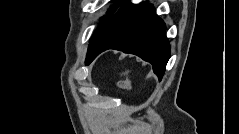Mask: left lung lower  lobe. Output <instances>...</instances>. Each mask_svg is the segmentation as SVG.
<instances>
[{"mask_svg": "<svg viewBox=\"0 0 239 134\" xmlns=\"http://www.w3.org/2000/svg\"><path fill=\"white\" fill-rule=\"evenodd\" d=\"M122 4L105 27L91 37L86 64L101 52L116 49L150 62L161 79L170 58L164 22L157 17L152 5L145 2L133 5L129 0Z\"/></svg>", "mask_w": 239, "mask_h": 134, "instance_id": "0a47b994", "label": "left lung lower lobe"}]
</instances>
